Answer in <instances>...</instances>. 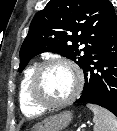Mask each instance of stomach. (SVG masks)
Masks as SVG:
<instances>
[{
	"instance_id": "obj_1",
	"label": "stomach",
	"mask_w": 117,
	"mask_h": 131,
	"mask_svg": "<svg viewBox=\"0 0 117 131\" xmlns=\"http://www.w3.org/2000/svg\"><path fill=\"white\" fill-rule=\"evenodd\" d=\"M72 120V113L69 111L55 114L45 118L42 122L36 124L34 131H61L67 127Z\"/></svg>"
}]
</instances>
